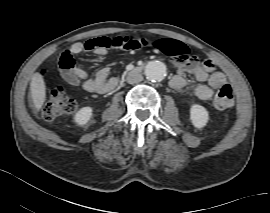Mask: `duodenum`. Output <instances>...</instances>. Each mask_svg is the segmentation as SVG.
Masks as SVG:
<instances>
[{
    "mask_svg": "<svg viewBox=\"0 0 270 213\" xmlns=\"http://www.w3.org/2000/svg\"><path fill=\"white\" fill-rule=\"evenodd\" d=\"M134 71L137 72V73H140L143 71V67L142 66H137L134 68Z\"/></svg>",
    "mask_w": 270,
    "mask_h": 213,
    "instance_id": "duodenum-1",
    "label": "duodenum"
}]
</instances>
